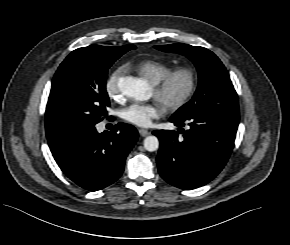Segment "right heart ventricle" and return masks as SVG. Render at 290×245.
Masks as SVG:
<instances>
[{
    "mask_svg": "<svg viewBox=\"0 0 290 245\" xmlns=\"http://www.w3.org/2000/svg\"><path fill=\"white\" fill-rule=\"evenodd\" d=\"M128 66L133 67L152 84L160 81L171 70L168 64L157 60H143L134 65L129 64Z\"/></svg>",
    "mask_w": 290,
    "mask_h": 245,
    "instance_id": "right-heart-ventricle-1",
    "label": "right heart ventricle"
}]
</instances>
